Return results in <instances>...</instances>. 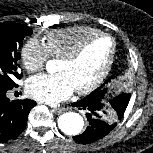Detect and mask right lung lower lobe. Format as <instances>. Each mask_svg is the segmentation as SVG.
<instances>
[{"label": "right lung lower lobe", "mask_w": 153, "mask_h": 153, "mask_svg": "<svg viewBox=\"0 0 153 153\" xmlns=\"http://www.w3.org/2000/svg\"><path fill=\"white\" fill-rule=\"evenodd\" d=\"M8 88L0 86V142L8 141L23 132L30 110L36 105L30 99L10 101Z\"/></svg>", "instance_id": "obj_1"}]
</instances>
